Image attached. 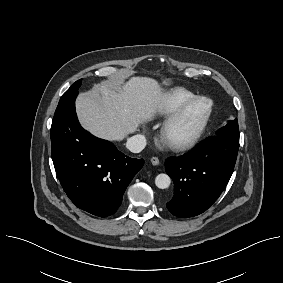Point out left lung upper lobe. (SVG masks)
Wrapping results in <instances>:
<instances>
[{
    "label": "left lung upper lobe",
    "mask_w": 283,
    "mask_h": 283,
    "mask_svg": "<svg viewBox=\"0 0 283 283\" xmlns=\"http://www.w3.org/2000/svg\"><path fill=\"white\" fill-rule=\"evenodd\" d=\"M216 135L239 144V127L237 120L229 121L225 127L216 132Z\"/></svg>",
    "instance_id": "obj_1"
}]
</instances>
